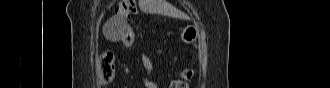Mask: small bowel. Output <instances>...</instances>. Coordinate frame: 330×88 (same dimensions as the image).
<instances>
[{"instance_id": "obj_1", "label": "small bowel", "mask_w": 330, "mask_h": 88, "mask_svg": "<svg viewBox=\"0 0 330 88\" xmlns=\"http://www.w3.org/2000/svg\"><path fill=\"white\" fill-rule=\"evenodd\" d=\"M139 61L143 69L145 70L146 76L144 78V83L147 87L153 88V83L150 79V74L154 70V65L151 59L144 53H140Z\"/></svg>"}]
</instances>
